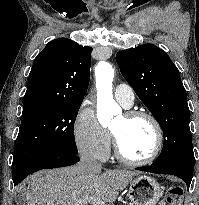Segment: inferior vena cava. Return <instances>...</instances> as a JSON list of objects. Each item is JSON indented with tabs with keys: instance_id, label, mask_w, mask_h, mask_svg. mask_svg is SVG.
Masks as SVG:
<instances>
[{
	"instance_id": "1",
	"label": "inferior vena cava",
	"mask_w": 199,
	"mask_h": 205,
	"mask_svg": "<svg viewBox=\"0 0 199 205\" xmlns=\"http://www.w3.org/2000/svg\"><path fill=\"white\" fill-rule=\"evenodd\" d=\"M79 167L83 172L101 170L102 166L89 151H81Z\"/></svg>"
}]
</instances>
